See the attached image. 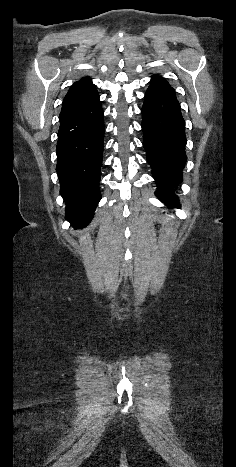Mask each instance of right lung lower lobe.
I'll use <instances>...</instances> for the list:
<instances>
[{"label": "right lung lower lobe", "instance_id": "right-lung-lower-lobe-1", "mask_svg": "<svg viewBox=\"0 0 236 467\" xmlns=\"http://www.w3.org/2000/svg\"><path fill=\"white\" fill-rule=\"evenodd\" d=\"M56 171L66 202V220L85 227L101 199L104 122L99 97L85 108L59 118Z\"/></svg>", "mask_w": 236, "mask_h": 467}]
</instances>
